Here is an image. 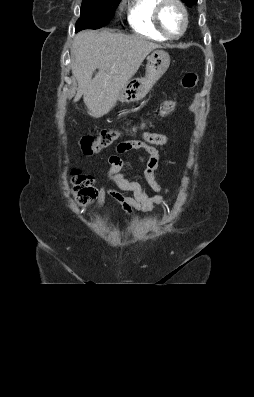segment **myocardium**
Masks as SVG:
<instances>
[{
    "mask_svg": "<svg viewBox=\"0 0 254 397\" xmlns=\"http://www.w3.org/2000/svg\"><path fill=\"white\" fill-rule=\"evenodd\" d=\"M168 4L176 5L180 9L181 14H182L183 25H182L181 31L177 35L169 34L165 30V28L163 27V24H162V20H161L162 11L165 8V6ZM154 23H155L157 30L166 39H169V40L179 39L185 34V32L188 28L189 16H188L187 9L181 0H159L158 4L156 5L155 10H154Z\"/></svg>",
    "mask_w": 254,
    "mask_h": 397,
    "instance_id": "1",
    "label": "myocardium"
}]
</instances>
